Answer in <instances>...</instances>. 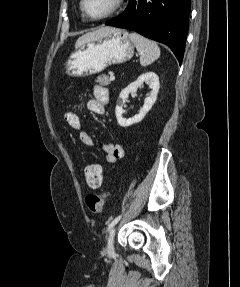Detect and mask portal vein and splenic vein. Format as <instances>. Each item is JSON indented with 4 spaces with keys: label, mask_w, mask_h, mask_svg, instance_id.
Listing matches in <instances>:
<instances>
[{
    "label": "portal vein and splenic vein",
    "mask_w": 240,
    "mask_h": 287,
    "mask_svg": "<svg viewBox=\"0 0 240 287\" xmlns=\"http://www.w3.org/2000/svg\"><path fill=\"white\" fill-rule=\"evenodd\" d=\"M110 79H111V80H114V79H115V77H114V74H113V73H111V75H110Z\"/></svg>",
    "instance_id": "portal-vein-and-splenic-vein-1"
}]
</instances>
